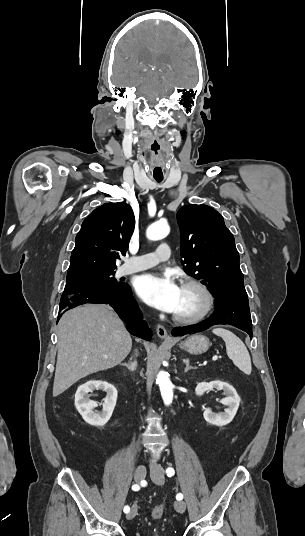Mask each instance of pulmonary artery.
Segmentation results:
<instances>
[{
    "label": "pulmonary artery",
    "instance_id": "obj_1",
    "mask_svg": "<svg viewBox=\"0 0 305 536\" xmlns=\"http://www.w3.org/2000/svg\"><path fill=\"white\" fill-rule=\"evenodd\" d=\"M171 248L167 241H161L155 251L146 254H133L130 257V262L125 264L121 272L123 274H131L149 269L160 262L169 259Z\"/></svg>",
    "mask_w": 305,
    "mask_h": 536
}]
</instances>
